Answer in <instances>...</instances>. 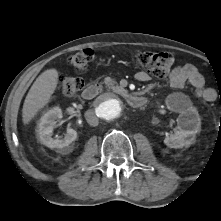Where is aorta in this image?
Here are the masks:
<instances>
[{
	"instance_id": "1",
	"label": "aorta",
	"mask_w": 221,
	"mask_h": 221,
	"mask_svg": "<svg viewBox=\"0 0 221 221\" xmlns=\"http://www.w3.org/2000/svg\"><path fill=\"white\" fill-rule=\"evenodd\" d=\"M124 102L118 96L108 93L103 95L97 102L95 112L105 122L117 120L124 111Z\"/></svg>"
}]
</instances>
